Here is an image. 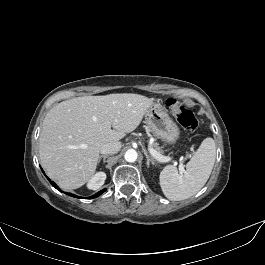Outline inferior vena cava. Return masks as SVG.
Here are the masks:
<instances>
[{"label":"inferior vena cava","instance_id":"602c4592","mask_svg":"<svg viewBox=\"0 0 265 265\" xmlns=\"http://www.w3.org/2000/svg\"><path fill=\"white\" fill-rule=\"evenodd\" d=\"M121 148V145L119 142H109L104 144L101 147L100 153L101 154H115L117 153Z\"/></svg>","mask_w":265,"mask_h":265}]
</instances>
